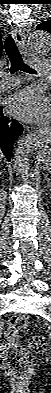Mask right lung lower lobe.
<instances>
[{
  "label": "right lung lower lobe",
  "mask_w": 51,
  "mask_h": 393,
  "mask_svg": "<svg viewBox=\"0 0 51 393\" xmlns=\"http://www.w3.org/2000/svg\"><path fill=\"white\" fill-rule=\"evenodd\" d=\"M0 106V154L4 153L10 161L13 144L23 132V126L15 119H10L3 114Z\"/></svg>",
  "instance_id": "obj_1"
}]
</instances>
